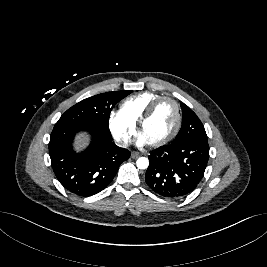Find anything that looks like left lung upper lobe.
<instances>
[{
    "mask_svg": "<svg viewBox=\"0 0 267 267\" xmlns=\"http://www.w3.org/2000/svg\"><path fill=\"white\" fill-rule=\"evenodd\" d=\"M182 109V127L171 144H176L188 140H200L208 142L204 126L197 115L184 103Z\"/></svg>",
    "mask_w": 267,
    "mask_h": 267,
    "instance_id": "1",
    "label": "left lung upper lobe"
}]
</instances>
